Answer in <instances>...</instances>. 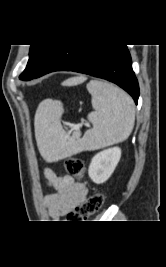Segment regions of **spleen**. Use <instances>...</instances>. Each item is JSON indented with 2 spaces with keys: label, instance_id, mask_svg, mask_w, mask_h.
I'll list each match as a JSON object with an SVG mask.
<instances>
[{
  "label": "spleen",
  "instance_id": "spleen-1",
  "mask_svg": "<svg viewBox=\"0 0 166 267\" xmlns=\"http://www.w3.org/2000/svg\"><path fill=\"white\" fill-rule=\"evenodd\" d=\"M94 112L88 114L93 127L75 140L60 122L61 108L50 103L46 111L38 112L35 135L41 155L56 161L82 151L97 150L126 140L135 122L132 98L118 87L103 81L87 84Z\"/></svg>",
  "mask_w": 166,
  "mask_h": 267
}]
</instances>
